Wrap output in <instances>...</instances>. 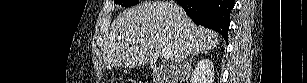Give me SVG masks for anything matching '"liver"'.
<instances>
[{"mask_svg":"<svg viewBox=\"0 0 307 83\" xmlns=\"http://www.w3.org/2000/svg\"><path fill=\"white\" fill-rule=\"evenodd\" d=\"M218 43V33L196 26L177 4L150 1L114 20L103 45V62L107 68L152 65L165 48L181 63Z\"/></svg>","mask_w":307,"mask_h":83,"instance_id":"6515ba94","label":"liver"}]
</instances>
